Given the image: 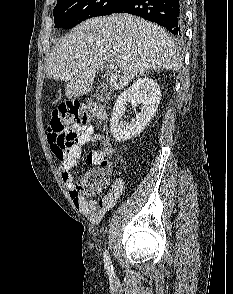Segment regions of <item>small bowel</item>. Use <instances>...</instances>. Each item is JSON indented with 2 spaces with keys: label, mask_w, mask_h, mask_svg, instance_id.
Wrapping results in <instances>:
<instances>
[{
  "label": "small bowel",
  "mask_w": 233,
  "mask_h": 294,
  "mask_svg": "<svg viewBox=\"0 0 233 294\" xmlns=\"http://www.w3.org/2000/svg\"><path fill=\"white\" fill-rule=\"evenodd\" d=\"M71 131L75 134L74 144L69 148L66 157L59 164V173L61 179L70 192L75 206L91 222L98 223L104 214L110 210L125 190V181L115 179L108 192L101 198L94 200L81 196L76 191V183L71 170L78 166L82 154V147L90 142H98L101 151H91L87 155L90 164L100 165L102 160H111L114 153V147L108 137L98 134L91 125H76Z\"/></svg>",
  "instance_id": "small-bowel-1"
}]
</instances>
